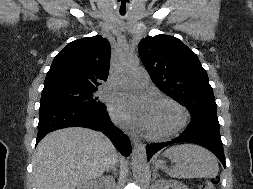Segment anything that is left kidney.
<instances>
[{"label":"left kidney","instance_id":"obj_1","mask_svg":"<svg viewBox=\"0 0 253 189\" xmlns=\"http://www.w3.org/2000/svg\"><path fill=\"white\" fill-rule=\"evenodd\" d=\"M153 189H189L184 183L173 180H159L153 187Z\"/></svg>","mask_w":253,"mask_h":189}]
</instances>
